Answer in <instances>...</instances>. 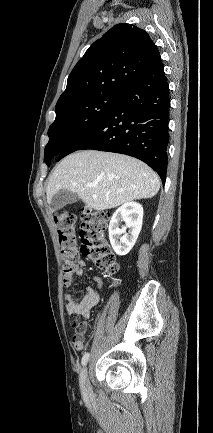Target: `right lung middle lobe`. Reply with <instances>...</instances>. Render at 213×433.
Masks as SVG:
<instances>
[{"label": "right lung middle lobe", "instance_id": "1", "mask_svg": "<svg viewBox=\"0 0 213 433\" xmlns=\"http://www.w3.org/2000/svg\"><path fill=\"white\" fill-rule=\"evenodd\" d=\"M120 98L117 94H98L55 109L56 118L49 127L44 151L45 163L49 166L52 158L100 122Z\"/></svg>", "mask_w": 213, "mask_h": 433}]
</instances>
